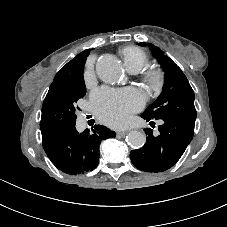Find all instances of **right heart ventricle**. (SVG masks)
Segmentation results:
<instances>
[{
	"mask_svg": "<svg viewBox=\"0 0 227 227\" xmlns=\"http://www.w3.org/2000/svg\"><path fill=\"white\" fill-rule=\"evenodd\" d=\"M124 64L128 71L136 73L149 63L148 54L141 48L128 45L120 50Z\"/></svg>",
	"mask_w": 227,
	"mask_h": 227,
	"instance_id": "1",
	"label": "right heart ventricle"
}]
</instances>
